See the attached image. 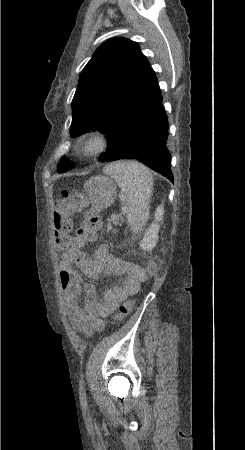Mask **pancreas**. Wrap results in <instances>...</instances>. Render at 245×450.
<instances>
[{
  "mask_svg": "<svg viewBox=\"0 0 245 450\" xmlns=\"http://www.w3.org/2000/svg\"><path fill=\"white\" fill-rule=\"evenodd\" d=\"M111 220L113 221V224H114V225H117L118 222H119V216L112 215V216H111Z\"/></svg>",
  "mask_w": 245,
  "mask_h": 450,
  "instance_id": "pancreas-1",
  "label": "pancreas"
}]
</instances>
